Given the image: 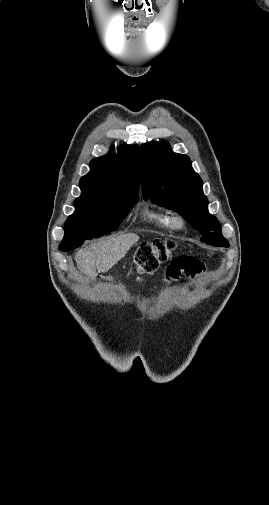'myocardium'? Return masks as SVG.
<instances>
[{
  "label": "myocardium",
  "instance_id": "1",
  "mask_svg": "<svg viewBox=\"0 0 269 505\" xmlns=\"http://www.w3.org/2000/svg\"><path fill=\"white\" fill-rule=\"evenodd\" d=\"M171 224L174 229L182 230L186 226V219L180 214L171 216Z\"/></svg>",
  "mask_w": 269,
  "mask_h": 505
}]
</instances>
